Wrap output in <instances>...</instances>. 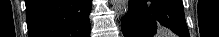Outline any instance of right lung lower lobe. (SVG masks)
<instances>
[{
	"instance_id": "obj_1",
	"label": "right lung lower lobe",
	"mask_w": 219,
	"mask_h": 37,
	"mask_svg": "<svg viewBox=\"0 0 219 37\" xmlns=\"http://www.w3.org/2000/svg\"><path fill=\"white\" fill-rule=\"evenodd\" d=\"M29 37H90L92 0H26Z\"/></svg>"
}]
</instances>
